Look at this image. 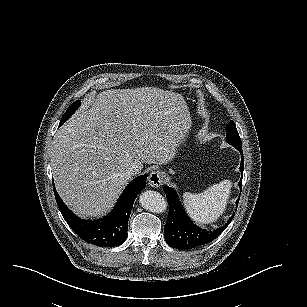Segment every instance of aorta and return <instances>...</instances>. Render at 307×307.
<instances>
[{
	"label": "aorta",
	"instance_id": "obj_1",
	"mask_svg": "<svg viewBox=\"0 0 307 307\" xmlns=\"http://www.w3.org/2000/svg\"><path fill=\"white\" fill-rule=\"evenodd\" d=\"M139 204L145 210L160 213L166 208V201L154 190H145L139 195Z\"/></svg>",
	"mask_w": 307,
	"mask_h": 307
}]
</instances>
